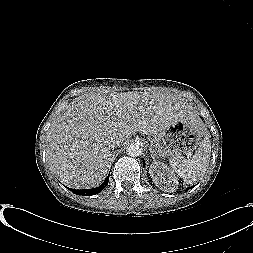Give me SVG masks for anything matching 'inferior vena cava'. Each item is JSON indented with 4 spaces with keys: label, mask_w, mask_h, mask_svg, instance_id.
<instances>
[{
    "label": "inferior vena cava",
    "mask_w": 253,
    "mask_h": 253,
    "mask_svg": "<svg viewBox=\"0 0 253 253\" xmlns=\"http://www.w3.org/2000/svg\"><path fill=\"white\" fill-rule=\"evenodd\" d=\"M112 145H113V147H115V148H120V147H122V145H123V140H122V138H120V137H114V138L112 139Z\"/></svg>",
    "instance_id": "obj_1"
}]
</instances>
